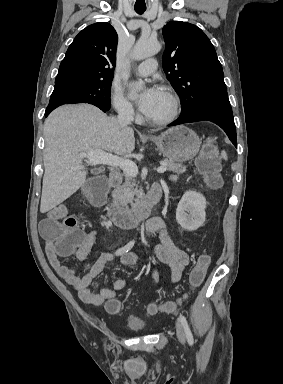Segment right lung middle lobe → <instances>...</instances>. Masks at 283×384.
<instances>
[{"label": "right lung middle lobe", "instance_id": "right-lung-middle-lobe-1", "mask_svg": "<svg viewBox=\"0 0 283 384\" xmlns=\"http://www.w3.org/2000/svg\"><path fill=\"white\" fill-rule=\"evenodd\" d=\"M111 83L112 79H105L70 83L54 87L48 108H56L63 104L73 103L110 106Z\"/></svg>", "mask_w": 283, "mask_h": 384}]
</instances>
